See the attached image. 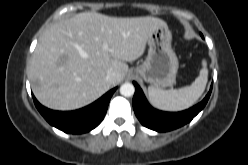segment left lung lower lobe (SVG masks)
I'll return each mask as SVG.
<instances>
[{"label": "left lung lower lobe", "instance_id": "obj_1", "mask_svg": "<svg viewBox=\"0 0 248 165\" xmlns=\"http://www.w3.org/2000/svg\"><path fill=\"white\" fill-rule=\"evenodd\" d=\"M133 83L136 89L133 97V109L137 118L142 125L158 132L170 131L190 122L205 107L212 90L211 85L210 91L203 101L194 107L182 112L170 113L152 108L139 85L136 82Z\"/></svg>", "mask_w": 248, "mask_h": 165}]
</instances>
